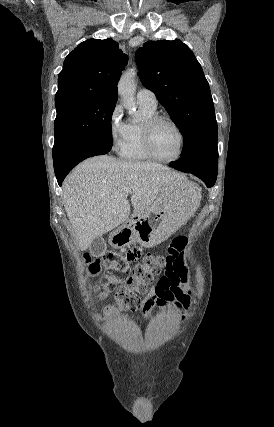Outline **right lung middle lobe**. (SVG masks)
I'll use <instances>...</instances> for the list:
<instances>
[{
    "label": "right lung middle lobe",
    "instance_id": "right-lung-middle-lobe-1",
    "mask_svg": "<svg viewBox=\"0 0 274 427\" xmlns=\"http://www.w3.org/2000/svg\"><path fill=\"white\" fill-rule=\"evenodd\" d=\"M117 97H91L56 105L54 168L87 148L111 145V118Z\"/></svg>",
    "mask_w": 274,
    "mask_h": 427
}]
</instances>
